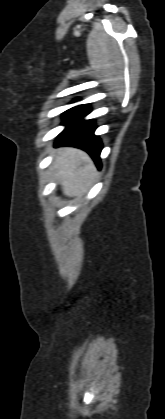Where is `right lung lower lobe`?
I'll return each mask as SVG.
<instances>
[{
    "label": "right lung lower lobe",
    "instance_id": "1",
    "mask_svg": "<svg viewBox=\"0 0 165 419\" xmlns=\"http://www.w3.org/2000/svg\"><path fill=\"white\" fill-rule=\"evenodd\" d=\"M89 112L88 105L76 106L66 111L63 124L67 127L58 136L56 144L58 146H73L87 151L100 167L101 140L94 135L96 129L94 122L83 119Z\"/></svg>",
    "mask_w": 165,
    "mask_h": 419
}]
</instances>
